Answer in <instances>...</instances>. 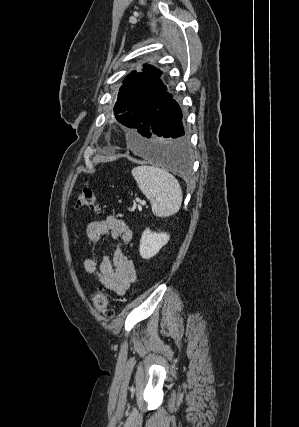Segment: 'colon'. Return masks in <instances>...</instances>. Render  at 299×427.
I'll use <instances>...</instances> for the list:
<instances>
[{
  "mask_svg": "<svg viewBox=\"0 0 299 427\" xmlns=\"http://www.w3.org/2000/svg\"><path fill=\"white\" fill-rule=\"evenodd\" d=\"M75 208L77 210H93L99 209V203L96 194L91 189L81 190L76 198ZM94 309L104 317H112L114 314L113 307L109 304L105 294L99 292L91 298Z\"/></svg>",
  "mask_w": 299,
  "mask_h": 427,
  "instance_id": "obj_1",
  "label": "colon"
}]
</instances>
